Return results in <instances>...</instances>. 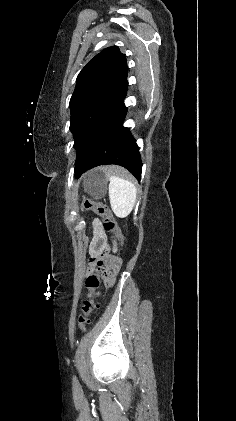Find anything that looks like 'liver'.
Returning a JSON list of instances; mask_svg holds the SVG:
<instances>
[{
    "instance_id": "6515ba94",
    "label": "liver",
    "mask_w": 236,
    "mask_h": 421,
    "mask_svg": "<svg viewBox=\"0 0 236 421\" xmlns=\"http://www.w3.org/2000/svg\"><path fill=\"white\" fill-rule=\"evenodd\" d=\"M107 168L110 170V166H103V170H107Z\"/></svg>"
}]
</instances>
